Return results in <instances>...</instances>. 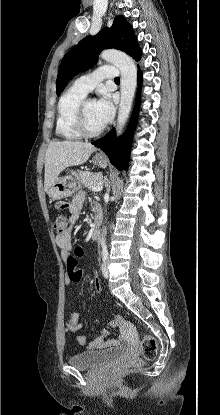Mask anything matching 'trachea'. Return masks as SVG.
<instances>
[{
  "label": "trachea",
  "instance_id": "trachea-1",
  "mask_svg": "<svg viewBox=\"0 0 220 415\" xmlns=\"http://www.w3.org/2000/svg\"><path fill=\"white\" fill-rule=\"evenodd\" d=\"M114 81H115V82H119V81H120L119 77L115 78V80H114Z\"/></svg>",
  "mask_w": 220,
  "mask_h": 415
}]
</instances>
